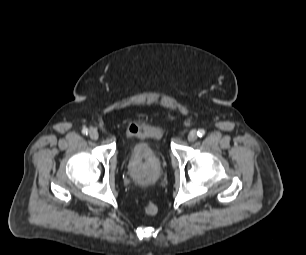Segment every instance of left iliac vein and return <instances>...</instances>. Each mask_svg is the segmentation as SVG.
<instances>
[{"instance_id": "obj_1", "label": "left iliac vein", "mask_w": 306, "mask_h": 255, "mask_svg": "<svg viewBox=\"0 0 306 255\" xmlns=\"http://www.w3.org/2000/svg\"><path fill=\"white\" fill-rule=\"evenodd\" d=\"M188 141L190 142H194L197 139V133L195 130H192L189 132L188 136H187Z\"/></svg>"}]
</instances>
